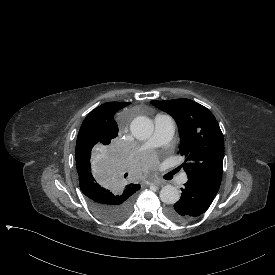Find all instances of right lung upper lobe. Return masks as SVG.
<instances>
[{"mask_svg": "<svg viewBox=\"0 0 275 275\" xmlns=\"http://www.w3.org/2000/svg\"><path fill=\"white\" fill-rule=\"evenodd\" d=\"M129 104L130 102H108L100 105L87 115L80 130L92 135L97 143L108 145L118 134L114 114ZM139 189L140 185L129 184L124 191L135 193Z\"/></svg>", "mask_w": 275, "mask_h": 275, "instance_id": "cb5924a9", "label": "right lung upper lobe"}]
</instances>
